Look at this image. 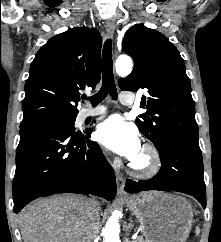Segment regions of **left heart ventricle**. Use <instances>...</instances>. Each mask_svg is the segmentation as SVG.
<instances>
[{
  "mask_svg": "<svg viewBox=\"0 0 221 242\" xmlns=\"http://www.w3.org/2000/svg\"><path fill=\"white\" fill-rule=\"evenodd\" d=\"M142 158H143L142 154H141V152H139L138 155L133 159V161L141 162Z\"/></svg>",
  "mask_w": 221,
  "mask_h": 242,
  "instance_id": "b2bd125f",
  "label": "left heart ventricle"
}]
</instances>
